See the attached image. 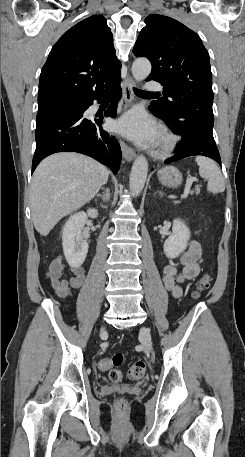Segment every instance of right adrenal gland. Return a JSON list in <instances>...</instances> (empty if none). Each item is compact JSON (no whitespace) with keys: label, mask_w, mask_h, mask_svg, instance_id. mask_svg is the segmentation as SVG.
Wrapping results in <instances>:
<instances>
[{"label":"right adrenal gland","mask_w":245,"mask_h":457,"mask_svg":"<svg viewBox=\"0 0 245 457\" xmlns=\"http://www.w3.org/2000/svg\"><path fill=\"white\" fill-rule=\"evenodd\" d=\"M103 188H105V186H103ZM96 196H101L102 200H110V190L109 188H105V192L104 194H96ZM101 206H103V208H105V204H101Z\"/></svg>","instance_id":"right-adrenal-gland-1"}]
</instances>
